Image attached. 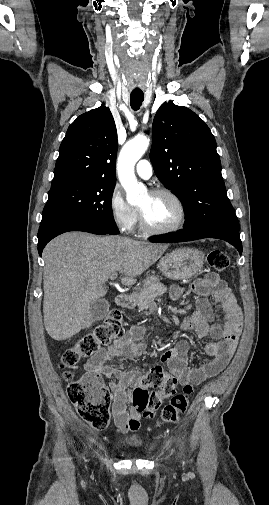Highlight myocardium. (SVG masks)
Masks as SVG:
<instances>
[{
  "mask_svg": "<svg viewBox=\"0 0 269 505\" xmlns=\"http://www.w3.org/2000/svg\"><path fill=\"white\" fill-rule=\"evenodd\" d=\"M151 195L154 196H168L170 197L179 207L180 210V217L178 221L168 227H155L149 224L147 219L145 218L144 214L142 213L141 210H139V219H140V226L143 231L149 234H154V235H161V234H169L176 232L180 230L186 223L187 217H188V212L185 203L183 200L172 190L166 189V188H160V189H155L150 192Z\"/></svg>",
  "mask_w": 269,
  "mask_h": 505,
  "instance_id": "obj_1",
  "label": "myocardium"
}]
</instances>
